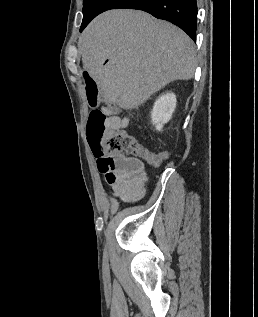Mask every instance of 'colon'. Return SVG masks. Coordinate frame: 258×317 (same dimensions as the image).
<instances>
[{"label":"colon","mask_w":258,"mask_h":317,"mask_svg":"<svg viewBox=\"0 0 258 317\" xmlns=\"http://www.w3.org/2000/svg\"><path fill=\"white\" fill-rule=\"evenodd\" d=\"M85 90L87 102L92 108L87 119L86 136L94 153L115 157H138L153 166L161 163L165 158L162 153L147 150L124 130L110 128L108 113L97 107L101 100L98 85L88 75L85 76Z\"/></svg>","instance_id":"colon-1"}]
</instances>
